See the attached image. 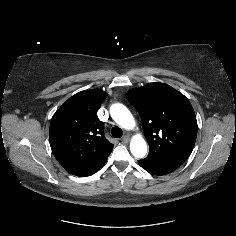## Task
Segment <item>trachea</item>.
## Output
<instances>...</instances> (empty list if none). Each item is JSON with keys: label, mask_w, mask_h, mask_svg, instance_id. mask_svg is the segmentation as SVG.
Instances as JSON below:
<instances>
[{"label": "trachea", "mask_w": 236, "mask_h": 236, "mask_svg": "<svg viewBox=\"0 0 236 236\" xmlns=\"http://www.w3.org/2000/svg\"><path fill=\"white\" fill-rule=\"evenodd\" d=\"M111 134L115 138H121L123 135V131L119 127H113L111 129Z\"/></svg>", "instance_id": "3493384b"}]
</instances>
